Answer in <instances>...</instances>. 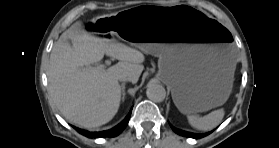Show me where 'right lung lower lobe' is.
<instances>
[{
    "label": "right lung lower lobe",
    "mask_w": 279,
    "mask_h": 148,
    "mask_svg": "<svg viewBox=\"0 0 279 148\" xmlns=\"http://www.w3.org/2000/svg\"><path fill=\"white\" fill-rule=\"evenodd\" d=\"M131 111L129 114L125 117V119L119 123L117 126L110 130L101 131V132H88L86 130H81L78 128H75L78 132H80L82 135L88 137V138H100V137H116L119 135L127 126L128 121L130 119Z\"/></svg>",
    "instance_id": "98d812e1"
}]
</instances>
